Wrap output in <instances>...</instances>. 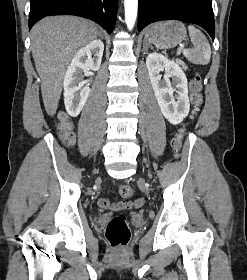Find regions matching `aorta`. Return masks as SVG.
<instances>
[{
    "instance_id": "1",
    "label": "aorta",
    "mask_w": 247,
    "mask_h": 280,
    "mask_svg": "<svg viewBox=\"0 0 247 280\" xmlns=\"http://www.w3.org/2000/svg\"><path fill=\"white\" fill-rule=\"evenodd\" d=\"M124 10L127 28L131 30L135 25L137 17L138 0H124Z\"/></svg>"
}]
</instances>
